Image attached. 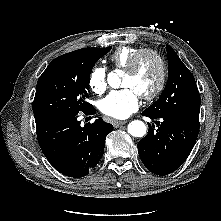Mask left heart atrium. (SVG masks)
Masks as SVG:
<instances>
[{
    "label": "left heart atrium",
    "instance_id": "1",
    "mask_svg": "<svg viewBox=\"0 0 221 221\" xmlns=\"http://www.w3.org/2000/svg\"><path fill=\"white\" fill-rule=\"evenodd\" d=\"M139 107V95L131 87L111 91L99 103L100 111L115 119H125Z\"/></svg>",
    "mask_w": 221,
    "mask_h": 221
}]
</instances>
